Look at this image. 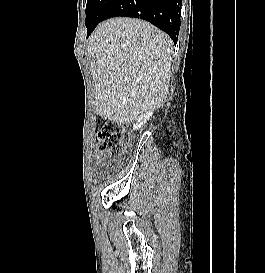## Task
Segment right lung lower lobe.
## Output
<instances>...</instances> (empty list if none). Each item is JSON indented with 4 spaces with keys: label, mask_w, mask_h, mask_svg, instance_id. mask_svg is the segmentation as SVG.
Listing matches in <instances>:
<instances>
[{
    "label": "right lung lower lobe",
    "mask_w": 265,
    "mask_h": 273,
    "mask_svg": "<svg viewBox=\"0 0 265 273\" xmlns=\"http://www.w3.org/2000/svg\"><path fill=\"white\" fill-rule=\"evenodd\" d=\"M182 0H113L103 19L126 16L151 22L165 31L174 41L178 40ZM88 30L89 36L92 31Z\"/></svg>",
    "instance_id": "obj_1"
}]
</instances>
